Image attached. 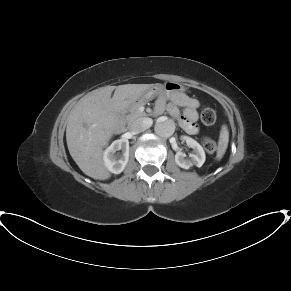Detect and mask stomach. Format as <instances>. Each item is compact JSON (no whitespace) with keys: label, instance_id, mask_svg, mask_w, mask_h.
Returning a JSON list of instances; mask_svg holds the SVG:
<instances>
[{"label":"stomach","instance_id":"0dacf381","mask_svg":"<svg viewBox=\"0 0 291 291\" xmlns=\"http://www.w3.org/2000/svg\"><path fill=\"white\" fill-rule=\"evenodd\" d=\"M178 88L179 86L174 82H166L165 84H154L147 90L142 99L146 101L152 99L154 96L160 93H166L168 95L172 92V90Z\"/></svg>","mask_w":291,"mask_h":291}]
</instances>
